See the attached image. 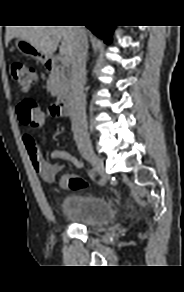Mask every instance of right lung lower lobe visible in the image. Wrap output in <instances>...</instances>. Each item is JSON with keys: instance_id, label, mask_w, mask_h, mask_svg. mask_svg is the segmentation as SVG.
<instances>
[{"instance_id": "98d812e1", "label": "right lung lower lobe", "mask_w": 184, "mask_h": 292, "mask_svg": "<svg viewBox=\"0 0 184 292\" xmlns=\"http://www.w3.org/2000/svg\"><path fill=\"white\" fill-rule=\"evenodd\" d=\"M86 27H88L96 36L103 39L106 43L111 42V33L113 32L112 26L89 24Z\"/></svg>"}]
</instances>
